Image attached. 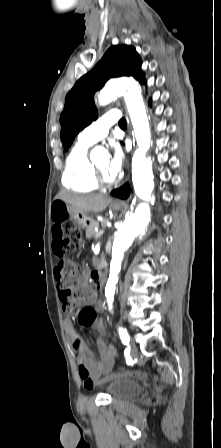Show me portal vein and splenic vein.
<instances>
[{
  "instance_id": "obj_1",
  "label": "portal vein and splenic vein",
  "mask_w": 221,
  "mask_h": 448,
  "mask_svg": "<svg viewBox=\"0 0 221 448\" xmlns=\"http://www.w3.org/2000/svg\"><path fill=\"white\" fill-rule=\"evenodd\" d=\"M106 226H104V228H105ZM104 229H101V230H99V231H97V233H96V236L97 237H100V236H102L103 234H104Z\"/></svg>"
}]
</instances>
